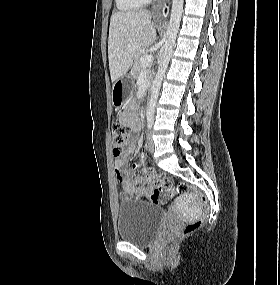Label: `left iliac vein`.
<instances>
[{"instance_id":"4c4485c4","label":"left iliac vein","mask_w":280,"mask_h":285,"mask_svg":"<svg viewBox=\"0 0 280 285\" xmlns=\"http://www.w3.org/2000/svg\"><path fill=\"white\" fill-rule=\"evenodd\" d=\"M147 145H148L149 151L153 152L154 151V141H153L151 133H148L147 135Z\"/></svg>"}]
</instances>
